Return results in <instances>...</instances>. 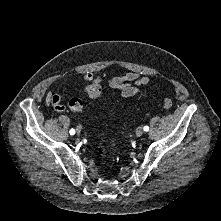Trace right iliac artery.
Here are the masks:
<instances>
[{
	"label": "right iliac artery",
	"instance_id": "right-iliac-artery-1",
	"mask_svg": "<svg viewBox=\"0 0 221 221\" xmlns=\"http://www.w3.org/2000/svg\"><path fill=\"white\" fill-rule=\"evenodd\" d=\"M69 133H70V135H74V134H75V130H74V129H71V130L69 131Z\"/></svg>",
	"mask_w": 221,
	"mask_h": 221
}]
</instances>
